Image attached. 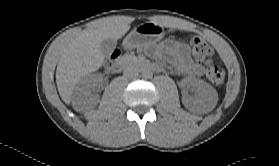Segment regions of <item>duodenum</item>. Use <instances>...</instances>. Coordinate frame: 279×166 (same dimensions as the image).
I'll return each instance as SVG.
<instances>
[{
    "instance_id": "obj_1",
    "label": "duodenum",
    "mask_w": 279,
    "mask_h": 166,
    "mask_svg": "<svg viewBox=\"0 0 279 166\" xmlns=\"http://www.w3.org/2000/svg\"><path fill=\"white\" fill-rule=\"evenodd\" d=\"M125 66V63L122 59H117L116 61H114L109 67H108V72L109 73H119L123 70ZM139 66L144 69V70H152V71H156L160 69V66L157 64H149V63H145V62H141L139 64Z\"/></svg>"
}]
</instances>
